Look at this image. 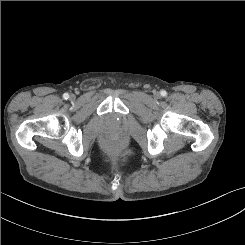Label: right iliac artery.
I'll return each instance as SVG.
<instances>
[{
	"instance_id": "right-iliac-artery-1",
	"label": "right iliac artery",
	"mask_w": 245,
	"mask_h": 245,
	"mask_svg": "<svg viewBox=\"0 0 245 245\" xmlns=\"http://www.w3.org/2000/svg\"><path fill=\"white\" fill-rule=\"evenodd\" d=\"M63 98H64V99H68V98H69V94H68V93H64V94H63Z\"/></svg>"
}]
</instances>
